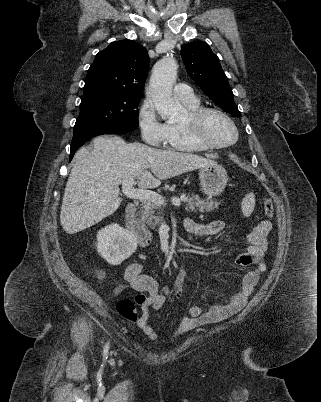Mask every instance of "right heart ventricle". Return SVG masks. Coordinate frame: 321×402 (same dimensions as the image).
Segmentation results:
<instances>
[{"label": "right heart ventricle", "mask_w": 321, "mask_h": 402, "mask_svg": "<svg viewBox=\"0 0 321 402\" xmlns=\"http://www.w3.org/2000/svg\"><path fill=\"white\" fill-rule=\"evenodd\" d=\"M187 113L193 112L202 107L199 99L190 102H183ZM167 140L165 145L169 148L180 151H202L206 148L196 143L183 125V120L170 121L166 123Z\"/></svg>", "instance_id": "1"}]
</instances>
